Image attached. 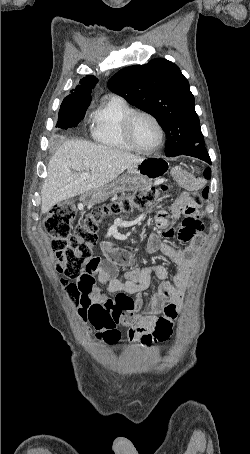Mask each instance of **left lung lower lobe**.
<instances>
[{"label": "left lung lower lobe", "mask_w": 250, "mask_h": 454, "mask_svg": "<svg viewBox=\"0 0 250 454\" xmlns=\"http://www.w3.org/2000/svg\"><path fill=\"white\" fill-rule=\"evenodd\" d=\"M177 155H188V156L197 157V158L211 164V160H210V157L208 155V152H207L205 146L196 147L190 151L182 152ZM177 155H175V156H177Z\"/></svg>", "instance_id": "obj_1"}]
</instances>
